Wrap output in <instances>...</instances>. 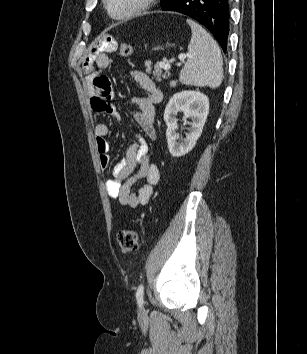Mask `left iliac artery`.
Wrapping results in <instances>:
<instances>
[{
	"label": "left iliac artery",
	"mask_w": 307,
	"mask_h": 354,
	"mask_svg": "<svg viewBox=\"0 0 307 354\" xmlns=\"http://www.w3.org/2000/svg\"><path fill=\"white\" fill-rule=\"evenodd\" d=\"M143 295H144V286L143 284H140L137 288V292H136V298H137V302L139 304V307H142L143 305Z\"/></svg>",
	"instance_id": "obj_1"
}]
</instances>
